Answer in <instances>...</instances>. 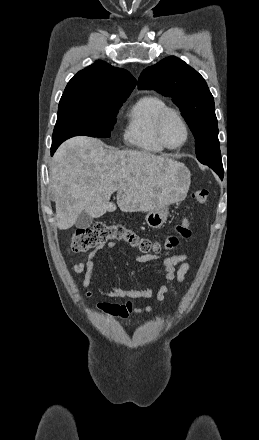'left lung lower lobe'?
<instances>
[{
  "mask_svg": "<svg viewBox=\"0 0 259 440\" xmlns=\"http://www.w3.org/2000/svg\"><path fill=\"white\" fill-rule=\"evenodd\" d=\"M223 174H224L223 171L219 174L221 178H223Z\"/></svg>",
  "mask_w": 259,
  "mask_h": 440,
  "instance_id": "1",
  "label": "left lung lower lobe"
}]
</instances>
